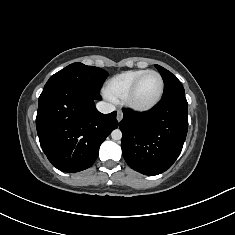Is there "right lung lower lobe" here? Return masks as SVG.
<instances>
[{
  "mask_svg": "<svg viewBox=\"0 0 235 235\" xmlns=\"http://www.w3.org/2000/svg\"><path fill=\"white\" fill-rule=\"evenodd\" d=\"M97 99L99 92L71 84L42 91L36 128L44 153L57 169L79 172L92 166L100 145L118 127L116 111L100 113Z\"/></svg>",
  "mask_w": 235,
  "mask_h": 235,
  "instance_id": "right-lung-lower-lobe-1",
  "label": "right lung lower lobe"
}]
</instances>
